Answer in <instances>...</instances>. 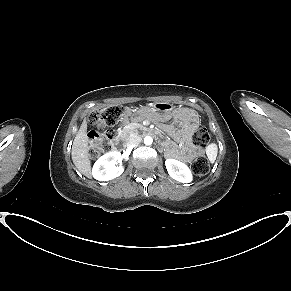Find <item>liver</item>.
Returning a JSON list of instances; mask_svg holds the SVG:
<instances>
[{"label": "liver", "instance_id": "6515ba94", "mask_svg": "<svg viewBox=\"0 0 291 291\" xmlns=\"http://www.w3.org/2000/svg\"><path fill=\"white\" fill-rule=\"evenodd\" d=\"M87 136V123L83 121L78 133L75 136L72 145V160L76 168L85 175L87 178H91V161L89 159V147Z\"/></svg>", "mask_w": 291, "mask_h": 291}]
</instances>
